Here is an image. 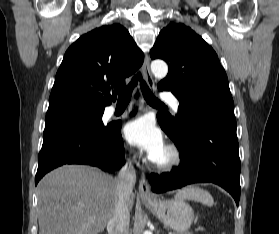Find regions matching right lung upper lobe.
I'll return each mask as SVG.
<instances>
[{"instance_id": "right-lung-upper-lobe-1", "label": "right lung upper lobe", "mask_w": 279, "mask_h": 234, "mask_svg": "<svg viewBox=\"0 0 279 234\" xmlns=\"http://www.w3.org/2000/svg\"><path fill=\"white\" fill-rule=\"evenodd\" d=\"M144 55L120 24L104 25L82 35L66 51L57 71L49 108L67 105L105 108L116 95L110 88L143 63Z\"/></svg>"}]
</instances>
